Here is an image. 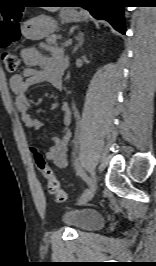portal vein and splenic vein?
<instances>
[{
	"mask_svg": "<svg viewBox=\"0 0 156 266\" xmlns=\"http://www.w3.org/2000/svg\"><path fill=\"white\" fill-rule=\"evenodd\" d=\"M71 43H72V40L68 39L63 45L68 47L69 45H71Z\"/></svg>",
	"mask_w": 156,
	"mask_h": 266,
	"instance_id": "portal-vein-and-splenic-vein-1",
	"label": "portal vein and splenic vein"
}]
</instances>
